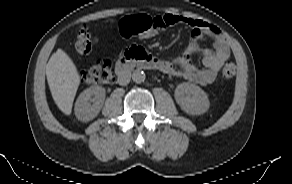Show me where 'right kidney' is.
<instances>
[{"label": "right kidney", "instance_id": "obj_1", "mask_svg": "<svg viewBox=\"0 0 292 184\" xmlns=\"http://www.w3.org/2000/svg\"><path fill=\"white\" fill-rule=\"evenodd\" d=\"M105 99V89L92 86L84 90L75 103V115L81 121H90L100 112Z\"/></svg>", "mask_w": 292, "mask_h": 184}]
</instances>
